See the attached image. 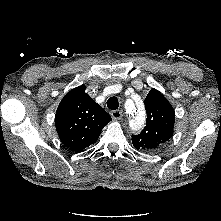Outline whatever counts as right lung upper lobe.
<instances>
[{
    "label": "right lung upper lobe",
    "instance_id": "right-lung-upper-lobe-1",
    "mask_svg": "<svg viewBox=\"0 0 221 221\" xmlns=\"http://www.w3.org/2000/svg\"><path fill=\"white\" fill-rule=\"evenodd\" d=\"M110 115L85 92V86L69 91L60 102L56 130L61 142L73 151L95 143Z\"/></svg>",
    "mask_w": 221,
    "mask_h": 221
}]
</instances>
